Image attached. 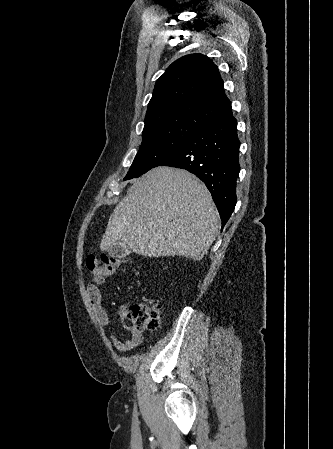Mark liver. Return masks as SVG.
<instances>
[{
  "instance_id": "6515ba94",
  "label": "liver",
  "mask_w": 333,
  "mask_h": 449,
  "mask_svg": "<svg viewBox=\"0 0 333 449\" xmlns=\"http://www.w3.org/2000/svg\"><path fill=\"white\" fill-rule=\"evenodd\" d=\"M132 183L109 218L100 250L119 242L139 255L200 261L220 227L207 187L188 171L171 167H156Z\"/></svg>"
}]
</instances>
